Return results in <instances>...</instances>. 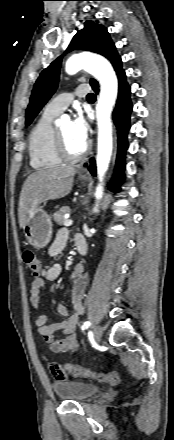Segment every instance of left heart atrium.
<instances>
[{
    "mask_svg": "<svg viewBox=\"0 0 174 440\" xmlns=\"http://www.w3.org/2000/svg\"><path fill=\"white\" fill-rule=\"evenodd\" d=\"M89 123L82 112H78L74 120L71 122V130L74 138L86 144L89 135Z\"/></svg>",
    "mask_w": 174,
    "mask_h": 440,
    "instance_id": "obj_1",
    "label": "left heart atrium"
}]
</instances>
